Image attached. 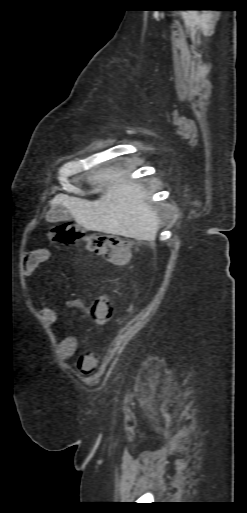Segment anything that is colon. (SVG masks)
<instances>
[{"label":"colon","mask_w":247,"mask_h":513,"mask_svg":"<svg viewBox=\"0 0 247 513\" xmlns=\"http://www.w3.org/2000/svg\"><path fill=\"white\" fill-rule=\"evenodd\" d=\"M53 240L61 243L83 242L90 251L106 257L114 266L127 267L132 262V250L128 241L117 236L103 233L88 234L83 228L72 223H61L50 231ZM93 324L97 328H106L110 324L113 304L102 298L93 300L90 304Z\"/></svg>","instance_id":"colon-1"}]
</instances>
